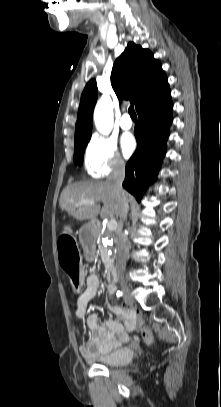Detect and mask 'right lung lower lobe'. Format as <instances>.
<instances>
[{"label":"right lung lower lobe","mask_w":221,"mask_h":407,"mask_svg":"<svg viewBox=\"0 0 221 407\" xmlns=\"http://www.w3.org/2000/svg\"><path fill=\"white\" fill-rule=\"evenodd\" d=\"M171 91L166 87L159 95L138 110L139 123L135 127L137 150L125 168L123 187L140 202L150 182L156 179L172 123Z\"/></svg>","instance_id":"1"}]
</instances>
